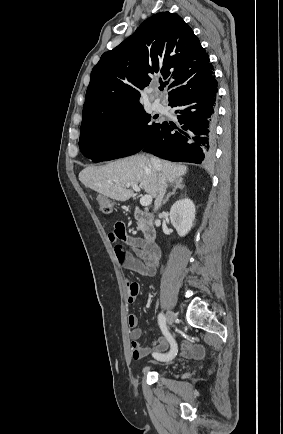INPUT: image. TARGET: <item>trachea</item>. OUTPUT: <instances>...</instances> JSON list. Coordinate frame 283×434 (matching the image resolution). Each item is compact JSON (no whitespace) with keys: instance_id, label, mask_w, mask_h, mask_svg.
I'll list each match as a JSON object with an SVG mask.
<instances>
[{"instance_id":"obj_1","label":"trachea","mask_w":283,"mask_h":434,"mask_svg":"<svg viewBox=\"0 0 283 434\" xmlns=\"http://www.w3.org/2000/svg\"><path fill=\"white\" fill-rule=\"evenodd\" d=\"M159 89H160V90H163V89H164V85H161V86L159 87Z\"/></svg>"}]
</instances>
